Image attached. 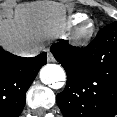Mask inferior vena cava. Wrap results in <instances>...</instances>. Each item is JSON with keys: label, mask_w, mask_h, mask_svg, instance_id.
I'll use <instances>...</instances> for the list:
<instances>
[{"label": "inferior vena cava", "mask_w": 117, "mask_h": 117, "mask_svg": "<svg viewBox=\"0 0 117 117\" xmlns=\"http://www.w3.org/2000/svg\"><path fill=\"white\" fill-rule=\"evenodd\" d=\"M40 51H41V47L38 45H35V46L28 47V48L20 51L17 54L22 57H33V56H36L37 54H39Z\"/></svg>", "instance_id": "602c4592"}]
</instances>
